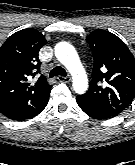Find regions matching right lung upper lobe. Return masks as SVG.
<instances>
[{
    "instance_id": "1",
    "label": "right lung upper lobe",
    "mask_w": 135,
    "mask_h": 165,
    "mask_svg": "<svg viewBox=\"0 0 135 165\" xmlns=\"http://www.w3.org/2000/svg\"><path fill=\"white\" fill-rule=\"evenodd\" d=\"M47 41L27 28L11 35L0 47V112L31 106L49 98L51 85L39 73L38 52Z\"/></svg>"
}]
</instances>
